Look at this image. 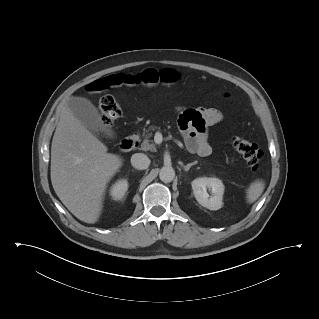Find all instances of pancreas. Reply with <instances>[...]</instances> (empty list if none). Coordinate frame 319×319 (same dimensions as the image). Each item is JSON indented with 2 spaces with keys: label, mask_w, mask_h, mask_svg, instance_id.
Listing matches in <instances>:
<instances>
[{
  "label": "pancreas",
  "mask_w": 319,
  "mask_h": 319,
  "mask_svg": "<svg viewBox=\"0 0 319 319\" xmlns=\"http://www.w3.org/2000/svg\"><path fill=\"white\" fill-rule=\"evenodd\" d=\"M150 130H155V128L154 127H149L147 130H145L143 132L144 140H143V142L141 144V149L144 150V151L155 152L156 151V146L152 142V140H150V137L152 136V133L149 132Z\"/></svg>",
  "instance_id": "1"
}]
</instances>
